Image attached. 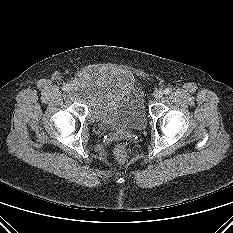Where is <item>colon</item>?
<instances>
[{"label":"colon","mask_w":233,"mask_h":233,"mask_svg":"<svg viewBox=\"0 0 233 233\" xmlns=\"http://www.w3.org/2000/svg\"><path fill=\"white\" fill-rule=\"evenodd\" d=\"M114 156L120 163H125L128 159V151L124 144H117L114 148Z\"/></svg>","instance_id":"colon-1"}]
</instances>
